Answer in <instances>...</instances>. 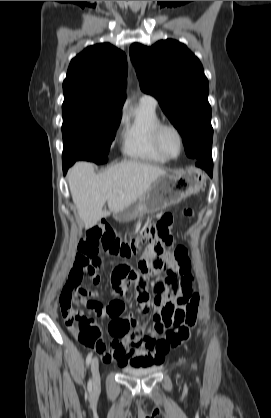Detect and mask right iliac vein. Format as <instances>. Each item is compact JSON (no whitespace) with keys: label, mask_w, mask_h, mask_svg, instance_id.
<instances>
[{"label":"right iliac vein","mask_w":271,"mask_h":418,"mask_svg":"<svg viewBox=\"0 0 271 418\" xmlns=\"http://www.w3.org/2000/svg\"><path fill=\"white\" fill-rule=\"evenodd\" d=\"M91 373L93 379V388L96 390L100 386L99 361L98 358H93L91 362Z\"/></svg>","instance_id":"obj_1"}]
</instances>
